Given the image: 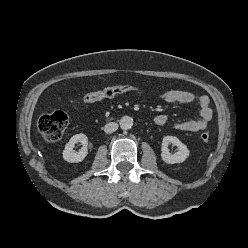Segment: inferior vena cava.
I'll list each match as a JSON object with an SVG mask.
<instances>
[{
    "label": "inferior vena cava",
    "mask_w": 248,
    "mask_h": 248,
    "mask_svg": "<svg viewBox=\"0 0 248 248\" xmlns=\"http://www.w3.org/2000/svg\"><path fill=\"white\" fill-rule=\"evenodd\" d=\"M117 129H118V124L115 122H110L105 125L104 132L107 134H111L115 132Z\"/></svg>",
    "instance_id": "1"
}]
</instances>
